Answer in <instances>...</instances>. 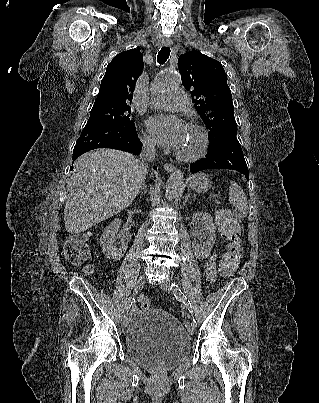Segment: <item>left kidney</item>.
<instances>
[{"mask_svg": "<svg viewBox=\"0 0 319 403\" xmlns=\"http://www.w3.org/2000/svg\"><path fill=\"white\" fill-rule=\"evenodd\" d=\"M192 220L195 224H204V233L202 235L204 241H202V243L200 244L197 241H194L193 243L195 255L198 258L203 259L210 255L211 249L215 244L216 228L213 223L212 216L207 212H195V214H193Z\"/></svg>", "mask_w": 319, "mask_h": 403, "instance_id": "left-kidney-1", "label": "left kidney"}]
</instances>
